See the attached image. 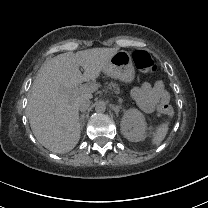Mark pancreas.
Wrapping results in <instances>:
<instances>
[{"label": "pancreas", "mask_w": 208, "mask_h": 208, "mask_svg": "<svg viewBox=\"0 0 208 208\" xmlns=\"http://www.w3.org/2000/svg\"><path fill=\"white\" fill-rule=\"evenodd\" d=\"M108 88H109V89L113 88V89L116 90L118 93H120L118 84H109V85H108Z\"/></svg>", "instance_id": "obj_1"}]
</instances>
